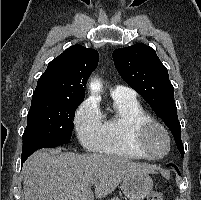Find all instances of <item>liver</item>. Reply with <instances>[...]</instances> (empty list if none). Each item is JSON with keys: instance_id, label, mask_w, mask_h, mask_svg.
Returning <instances> with one entry per match:
<instances>
[{"instance_id": "obj_1", "label": "liver", "mask_w": 201, "mask_h": 200, "mask_svg": "<svg viewBox=\"0 0 201 200\" xmlns=\"http://www.w3.org/2000/svg\"><path fill=\"white\" fill-rule=\"evenodd\" d=\"M134 173H154L145 163L127 158L42 149L35 152L23 167L24 200H94L116 189L121 180Z\"/></svg>"}]
</instances>
